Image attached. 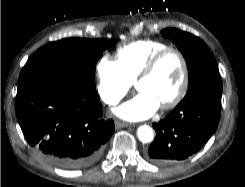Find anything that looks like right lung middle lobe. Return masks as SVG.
<instances>
[{
	"label": "right lung middle lobe",
	"mask_w": 245,
	"mask_h": 187,
	"mask_svg": "<svg viewBox=\"0 0 245 187\" xmlns=\"http://www.w3.org/2000/svg\"><path fill=\"white\" fill-rule=\"evenodd\" d=\"M115 40L70 38L37 50L23 67L19 83L55 76L95 89V67L98 57Z\"/></svg>",
	"instance_id": "dd1d6c3e"
}]
</instances>
